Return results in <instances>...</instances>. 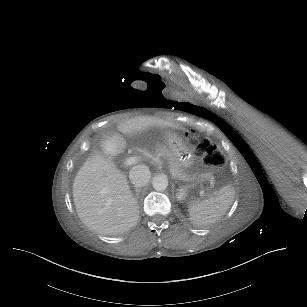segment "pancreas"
Returning a JSON list of instances; mask_svg holds the SVG:
<instances>
[{
  "label": "pancreas",
  "instance_id": "cf45deb5",
  "mask_svg": "<svg viewBox=\"0 0 307 307\" xmlns=\"http://www.w3.org/2000/svg\"><path fill=\"white\" fill-rule=\"evenodd\" d=\"M161 153L165 154L164 149L161 150ZM167 159H168L169 163H171L170 168H171L172 173H174L176 175V177H178V178L185 177L186 172H185V170L179 168L180 163L178 161L177 156H175V154H173V153H170V154H168Z\"/></svg>",
  "mask_w": 307,
  "mask_h": 307
}]
</instances>
